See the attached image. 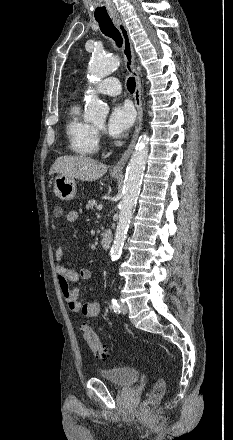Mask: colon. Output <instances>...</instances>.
I'll use <instances>...</instances> for the list:
<instances>
[{
    "instance_id": "1",
    "label": "colon",
    "mask_w": 233,
    "mask_h": 440,
    "mask_svg": "<svg viewBox=\"0 0 233 440\" xmlns=\"http://www.w3.org/2000/svg\"><path fill=\"white\" fill-rule=\"evenodd\" d=\"M63 209L60 205L54 207V214L56 217L62 215ZM80 330L83 334L84 341L90 346L95 357L99 359H108L110 357V350L101 342L96 332L87 323L80 325ZM165 391V381L162 376H159L154 383L147 399L144 401L142 408L145 411H151L161 401Z\"/></svg>"
}]
</instances>
